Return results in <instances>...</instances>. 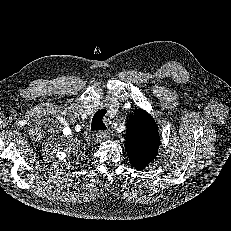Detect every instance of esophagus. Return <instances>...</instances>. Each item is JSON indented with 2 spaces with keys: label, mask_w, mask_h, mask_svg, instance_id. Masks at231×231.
I'll list each match as a JSON object with an SVG mask.
<instances>
[{
  "label": "esophagus",
  "mask_w": 231,
  "mask_h": 231,
  "mask_svg": "<svg viewBox=\"0 0 231 231\" xmlns=\"http://www.w3.org/2000/svg\"><path fill=\"white\" fill-rule=\"evenodd\" d=\"M110 132L109 130H101L97 132V136L101 139L109 138Z\"/></svg>",
  "instance_id": "obj_1"
}]
</instances>
